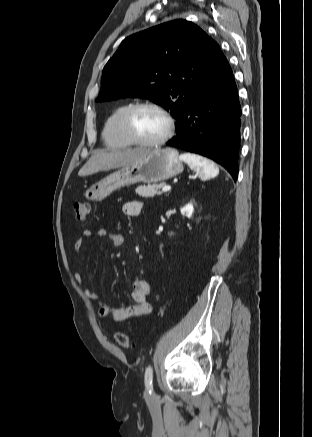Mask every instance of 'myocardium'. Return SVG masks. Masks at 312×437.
Listing matches in <instances>:
<instances>
[{
	"mask_svg": "<svg viewBox=\"0 0 312 437\" xmlns=\"http://www.w3.org/2000/svg\"><path fill=\"white\" fill-rule=\"evenodd\" d=\"M142 109H152L163 116L166 121V131L165 133L155 140H142L137 137L133 129V119L136 113ZM174 120L171 114L163 108L161 105L154 102H140L131 105L123 114L121 119V129L126 136V138L135 145L143 146V147H155L165 144L174 133Z\"/></svg>",
	"mask_w": 312,
	"mask_h": 437,
	"instance_id": "obj_1",
	"label": "myocardium"
}]
</instances>
